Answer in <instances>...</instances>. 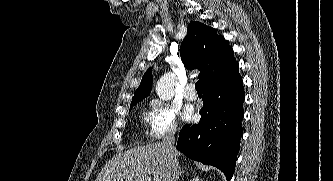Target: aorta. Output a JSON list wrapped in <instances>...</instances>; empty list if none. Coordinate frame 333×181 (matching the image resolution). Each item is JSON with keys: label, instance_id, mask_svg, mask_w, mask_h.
Wrapping results in <instances>:
<instances>
[{"label": "aorta", "instance_id": "obj_1", "mask_svg": "<svg viewBox=\"0 0 333 181\" xmlns=\"http://www.w3.org/2000/svg\"><path fill=\"white\" fill-rule=\"evenodd\" d=\"M175 75L172 72L165 73L156 84V92L160 99L171 100L174 96Z\"/></svg>", "mask_w": 333, "mask_h": 181}]
</instances>
